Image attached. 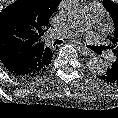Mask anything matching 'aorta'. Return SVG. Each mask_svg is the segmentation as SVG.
Listing matches in <instances>:
<instances>
[{
	"mask_svg": "<svg viewBox=\"0 0 118 118\" xmlns=\"http://www.w3.org/2000/svg\"><path fill=\"white\" fill-rule=\"evenodd\" d=\"M81 6L77 0H65L59 9L60 16L67 21H75L81 16ZM91 73L101 75L107 70L105 62L93 57L87 64Z\"/></svg>",
	"mask_w": 118,
	"mask_h": 118,
	"instance_id": "obj_1",
	"label": "aorta"
}]
</instances>
